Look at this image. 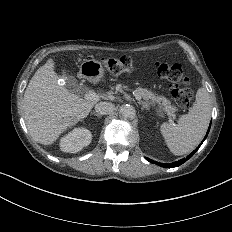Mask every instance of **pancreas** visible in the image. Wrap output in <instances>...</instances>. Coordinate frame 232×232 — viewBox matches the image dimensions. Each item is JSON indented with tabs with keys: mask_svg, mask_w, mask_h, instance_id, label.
<instances>
[{
	"mask_svg": "<svg viewBox=\"0 0 232 232\" xmlns=\"http://www.w3.org/2000/svg\"><path fill=\"white\" fill-rule=\"evenodd\" d=\"M120 88H122V85L118 84L116 86V89L118 90ZM123 88H126V86H124ZM134 93H135V95L141 96L145 101L151 102L153 106L156 103L161 104L164 107V110L168 115H172L173 113H175L177 111V108L175 106H172L171 102L169 100H167L165 97L157 96L145 88L138 87L134 91Z\"/></svg>",
	"mask_w": 232,
	"mask_h": 232,
	"instance_id": "1",
	"label": "pancreas"
}]
</instances>
